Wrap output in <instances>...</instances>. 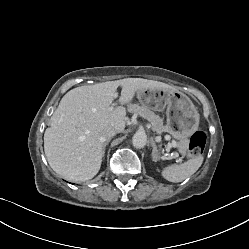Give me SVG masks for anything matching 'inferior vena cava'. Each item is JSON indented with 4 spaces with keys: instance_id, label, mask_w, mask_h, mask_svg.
Returning <instances> with one entry per match:
<instances>
[{
    "instance_id": "602c4592",
    "label": "inferior vena cava",
    "mask_w": 249,
    "mask_h": 249,
    "mask_svg": "<svg viewBox=\"0 0 249 249\" xmlns=\"http://www.w3.org/2000/svg\"><path fill=\"white\" fill-rule=\"evenodd\" d=\"M117 129L112 127V126H106L102 131H101V140L106 141L111 139L114 135L117 134Z\"/></svg>"
}]
</instances>
